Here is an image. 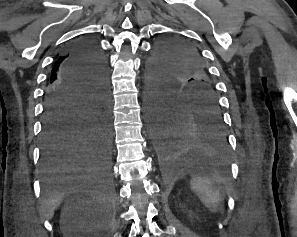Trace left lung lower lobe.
I'll return each instance as SVG.
<instances>
[{"instance_id": "1", "label": "left lung lower lobe", "mask_w": 297, "mask_h": 237, "mask_svg": "<svg viewBox=\"0 0 297 237\" xmlns=\"http://www.w3.org/2000/svg\"><path fill=\"white\" fill-rule=\"evenodd\" d=\"M219 106L211 100L180 104L168 97L149 98L154 144L166 166L227 164L229 147Z\"/></svg>"}]
</instances>
